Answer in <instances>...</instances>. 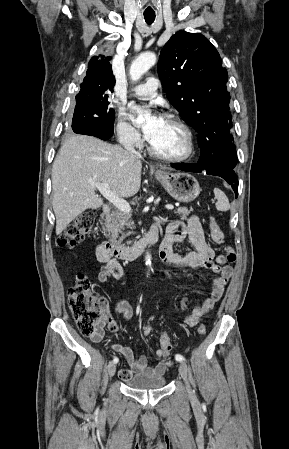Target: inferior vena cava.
I'll return each mask as SVG.
<instances>
[{
    "instance_id": "inferior-vena-cava-1",
    "label": "inferior vena cava",
    "mask_w": 289,
    "mask_h": 449,
    "mask_svg": "<svg viewBox=\"0 0 289 449\" xmlns=\"http://www.w3.org/2000/svg\"><path fill=\"white\" fill-rule=\"evenodd\" d=\"M125 149L133 156L137 157V158H141V154L139 152H137L134 149V146L132 143H126L125 144Z\"/></svg>"
}]
</instances>
